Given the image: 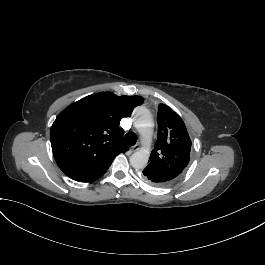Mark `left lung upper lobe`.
<instances>
[{
    "mask_svg": "<svg viewBox=\"0 0 265 265\" xmlns=\"http://www.w3.org/2000/svg\"><path fill=\"white\" fill-rule=\"evenodd\" d=\"M157 123L158 138L143 177L164 186L175 181L188 165L191 140L181 117L165 104L158 106Z\"/></svg>",
    "mask_w": 265,
    "mask_h": 265,
    "instance_id": "1",
    "label": "left lung upper lobe"
}]
</instances>
